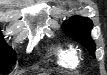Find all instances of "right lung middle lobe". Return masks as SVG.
<instances>
[{
    "instance_id": "right-lung-middle-lobe-1",
    "label": "right lung middle lobe",
    "mask_w": 107,
    "mask_h": 75,
    "mask_svg": "<svg viewBox=\"0 0 107 75\" xmlns=\"http://www.w3.org/2000/svg\"><path fill=\"white\" fill-rule=\"evenodd\" d=\"M16 62L15 51L5 46L2 37H0V73L7 72Z\"/></svg>"
}]
</instances>
